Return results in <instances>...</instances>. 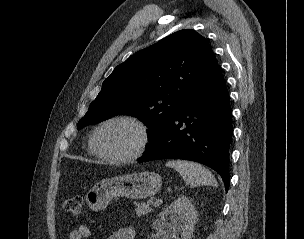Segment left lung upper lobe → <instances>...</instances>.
Instances as JSON below:
<instances>
[{"label":"left lung upper lobe","instance_id":"5c2ea615","mask_svg":"<svg viewBox=\"0 0 304 239\" xmlns=\"http://www.w3.org/2000/svg\"><path fill=\"white\" fill-rule=\"evenodd\" d=\"M216 64L207 40L191 29L175 32L118 65L78 122V129L114 115H131L148 126L150 144Z\"/></svg>","mask_w":304,"mask_h":239}]
</instances>
